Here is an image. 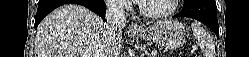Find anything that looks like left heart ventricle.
<instances>
[{
  "instance_id": "b2bd125f",
  "label": "left heart ventricle",
  "mask_w": 249,
  "mask_h": 57,
  "mask_svg": "<svg viewBox=\"0 0 249 57\" xmlns=\"http://www.w3.org/2000/svg\"><path fill=\"white\" fill-rule=\"evenodd\" d=\"M172 0H143L142 4L148 12L158 13L170 8Z\"/></svg>"
}]
</instances>
